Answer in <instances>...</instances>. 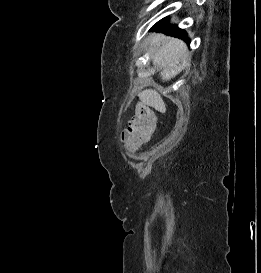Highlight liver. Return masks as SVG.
<instances>
[{
  "instance_id": "liver-1",
  "label": "liver",
  "mask_w": 261,
  "mask_h": 273,
  "mask_svg": "<svg viewBox=\"0 0 261 273\" xmlns=\"http://www.w3.org/2000/svg\"><path fill=\"white\" fill-rule=\"evenodd\" d=\"M150 45L153 49V64L161 69L160 76L163 81L175 77L189 64L187 45L179 39L157 33L151 37ZM138 97L143 104L161 113L166 112L165 103L156 90L146 89L140 92Z\"/></svg>"
}]
</instances>
